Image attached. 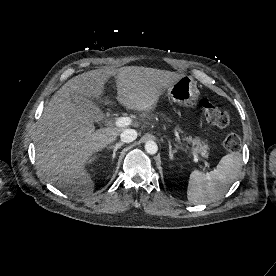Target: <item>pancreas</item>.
I'll return each mask as SVG.
<instances>
[{
    "label": "pancreas",
    "mask_w": 276,
    "mask_h": 276,
    "mask_svg": "<svg viewBox=\"0 0 276 276\" xmlns=\"http://www.w3.org/2000/svg\"><path fill=\"white\" fill-rule=\"evenodd\" d=\"M185 140L192 143V145L194 146V151L200 153L203 156L207 155V150L209 149V147L199 138L192 139V137H187L185 138Z\"/></svg>",
    "instance_id": "1"
}]
</instances>
